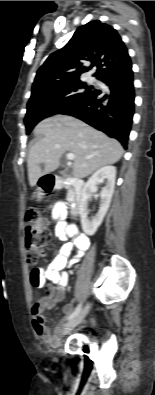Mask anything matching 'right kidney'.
<instances>
[{
    "label": "right kidney",
    "mask_w": 155,
    "mask_h": 395,
    "mask_svg": "<svg viewBox=\"0 0 155 395\" xmlns=\"http://www.w3.org/2000/svg\"><path fill=\"white\" fill-rule=\"evenodd\" d=\"M115 178L116 168L114 166H105L97 170L83 187L79 213L83 231L89 236L95 234L109 209L114 193ZM103 179H106V185L102 188L100 193L101 201L99 211L94 217L89 218L88 201L92 193L97 192V184Z\"/></svg>",
    "instance_id": "right-kidney-1"
}]
</instances>
